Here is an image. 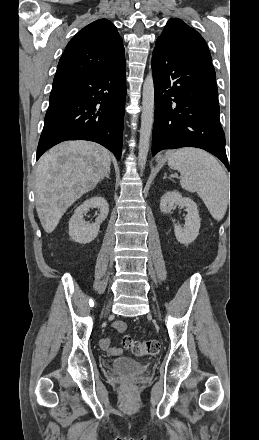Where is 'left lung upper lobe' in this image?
<instances>
[{"label": "left lung upper lobe", "mask_w": 259, "mask_h": 440, "mask_svg": "<svg viewBox=\"0 0 259 440\" xmlns=\"http://www.w3.org/2000/svg\"><path fill=\"white\" fill-rule=\"evenodd\" d=\"M156 45H162L183 55H198L211 60L210 51L202 36L182 20L170 19Z\"/></svg>", "instance_id": "5c2ea615"}]
</instances>
